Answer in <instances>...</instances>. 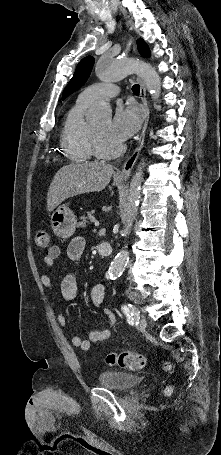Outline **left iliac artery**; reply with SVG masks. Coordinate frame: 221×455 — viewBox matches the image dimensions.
Returning a JSON list of instances; mask_svg holds the SVG:
<instances>
[{
    "label": "left iliac artery",
    "mask_w": 221,
    "mask_h": 455,
    "mask_svg": "<svg viewBox=\"0 0 221 455\" xmlns=\"http://www.w3.org/2000/svg\"><path fill=\"white\" fill-rule=\"evenodd\" d=\"M122 311L127 316V321L129 324L138 323L140 319L139 310L131 304L122 305Z\"/></svg>",
    "instance_id": "obj_1"
}]
</instances>
